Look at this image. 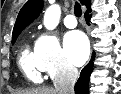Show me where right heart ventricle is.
<instances>
[{
  "instance_id": "obj_1",
  "label": "right heart ventricle",
  "mask_w": 121,
  "mask_h": 94,
  "mask_svg": "<svg viewBox=\"0 0 121 94\" xmlns=\"http://www.w3.org/2000/svg\"><path fill=\"white\" fill-rule=\"evenodd\" d=\"M19 67L29 82L37 84L42 81V70L37 64L35 53L27 45L22 48L20 53Z\"/></svg>"
}]
</instances>
